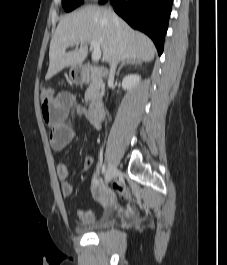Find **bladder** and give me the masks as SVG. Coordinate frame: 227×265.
<instances>
[{
  "label": "bladder",
  "mask_w": 227,
  "mask_h": 265,
  "mask_svg": "<svg viewBox=\"0 0 227 265\" xmlns=\"http://www.w3.org/2000/svg\"><path fill=\"white\" fill-rule=\"evenodd\" d=\"M115 222L116 220L114 216L112 215L111 212H109L103 217V219L100 222L88 226L79 225L75 227V230L76 232L81 234L96 233L105 230L107 228H110L115 224Z\"/></svg>",
  "instance_id": "31cf9c89"
}]
</instances>
